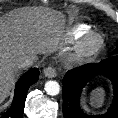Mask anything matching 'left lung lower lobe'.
Wrapping results in <instances>:
<instances>
[{
	"instance_id": "0a47b994",
	"label": "left lung lower lobe",
	"mask_w": 118,
	"mask_h": 118,
	"mask_svg": "<svg viewBox=\"0 0 118 118\" xmlns=\"http://www.w3.org/2000/svg\"><path fill=\"white\" fill-rule=\"evenodd\" d=\"M97 75H106L111 79L114 99L105 114L87 115L80 107L79 98L86 84ZM62 93L64 118H118V55L69 70L63 78Z\"/></svg>"
}]
</instances>
